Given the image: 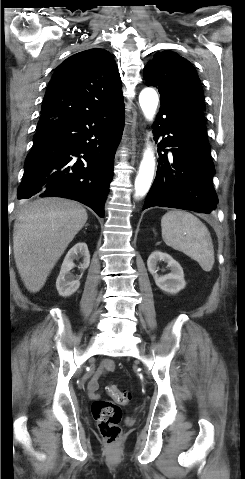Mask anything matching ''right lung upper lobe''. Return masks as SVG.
Returning a JSON list of instances; mask_svg holds the SVG:
<instances>
[{
	"label": "right lung upper lobe",
	"mask_w": 245,
	"mask_h": 479,
	"mask_svg": "<svg viewBox=\"0 0 245 479\" xmlns=\"http://www.w3.org/2000/svg\"><path fill=\"white\" fill-rule=\"evenodd\" d=\"M114 58L104 49L76 53L56 68L42 104L37 129L60 118L124 106Z\"/></svg>",
	"instance_id": "obj_1"
}]
</instances>
